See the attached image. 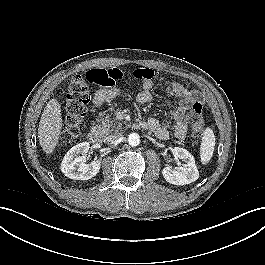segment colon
I'll return each instance as SVG.
<instances>
[{
	"label": "colon",
	"mask_w": 265,
	"mask_h": 265,
	"mask_svg": "<svg viewBox=\"0 0 265 265\" xmlns=\"http://www.w3.org/2000/svg\"><path fill=\"white\" fill-rule=\"evenodd\" d=\"M117 70L95 69L85 76L75 75L66 86L64 98V126L60 135L61 146L73 143L81 134L86 114V107L90 101L89 84L101 86H111L116 82ZM150 69H136L133 76L142 80L151 76ZM188 123L191 126L195 137H200L204 129L203 106L200 102H195L187 115Z\"/></svg>",
	"instance_id": "obj_1"
}]
</instances>
